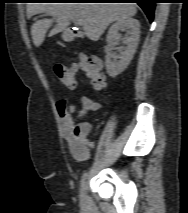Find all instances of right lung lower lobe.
Returning <instances> with one entry per match:
<instances>
[{
	"mask_svg": "<svg viewBox=\"0 0 188 213\" xmlns=\"http://www.w3.org/2000/svg\"><path fill=\"white\" fill-rule=\"evenodd\" d=\"M100 1H109V0H100ZM114 1H131V2L139 4V6L146 13L150 22L153 21L156 0H114Z\"/></svg>",
	"mask_w": 188,
	"mask_h": 213,
	"instance_id": "right-lung-lower-lobe-1",
	"label": "right lung lower lobe"
}]
</instances>
